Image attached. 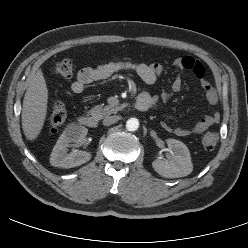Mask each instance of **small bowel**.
I'll use <instances>...</instances> for the list:
<instances>
[{
    "label": "small bowel",
    "instance_id": "c3829d8e",
    "mask_svg": "<svg viewBox=\"0 0 248 248\" xmlns=\"http://www.w3.org/2000/svg\"><path fill=\"white\" fill-rule=\"evenodd\" d=\"M175 67L183 70L191 71L194 76L200 81L204 91V98L210 104L218 102V93L209 80L205 78L204 65L190 56L178 57L173 61ZM119 71L135 72L140 79L146 84H153L157 78L164 72V65L159 62L154 63H138L134 61H113L106 64L99 65L95 68L86 67L78 71L76 80L71 85V90L75 94L82 93L87 86L105 80ZM182 89V79L176 77L171 85L172 92H179ZM151 101V105L155 106L159 101L156 95H147ZM171 97V93L164 92L161 99L166 102ZM220 121V114L214 112L198 119L190 128L177 127L174 128L167 122L163 121L161 126L164 130L174 133L177 136H189L192 134H199L209 127L218 124Z\"/></svg>",
    "mask_w": 248,
    "mask_h": 248
}]
</instances>
